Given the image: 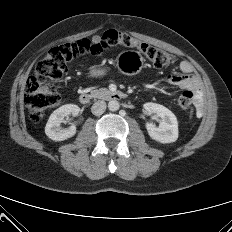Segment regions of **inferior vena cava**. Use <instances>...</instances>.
Wrapping results in <instances>:
<instances>
[{"label": "inferior vena cava", "instance_id": "obj_1", "mask_svg": "<svg viewBox=\"0 0 232 232\" xmlns=\"http://www.w3.org/2000/svg\"><path fill=\"white\" fill-rule=\"evenodd\" d=\"M106 110V102L105 101H96L91 107V111L94 115L100 116Z\"/></svg>", "mask_w": 232, "mask_h": 232}]
</instances>
